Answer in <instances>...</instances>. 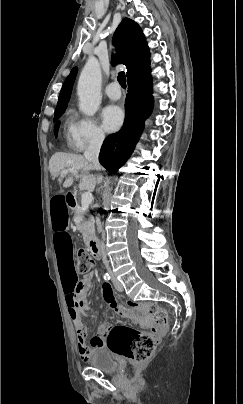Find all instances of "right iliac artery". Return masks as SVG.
<instances>
[{"label": "right iliac artery", "instance_id": "right-iliac-artery-1", "mask_svg": "<svg viewBox=\"0 0 243 404\" xmlns=\"http://www.w3.org/2000/svg\"><path fill=\"white\" fill-rule=\"evenodd\" d=\"M104 280H110V275L108 273L104 274Z\"/></svg>", "mask_w": 243, "mask_h": 404}]
</instances>
